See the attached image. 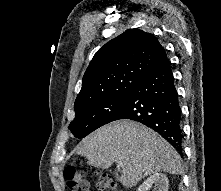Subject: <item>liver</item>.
<instances>
[{"label": "liver", "mask_w": 221, "mask_h": 191, "mask_svg": "<svg viewBox=\"0 0 221 191\" xmlns=\"http://www.w3.org/2000/svg\"><path fill=\"white\" fill-rule=\"evenodd\" d=\"M77 155L86 157L89 165L105 169L113 162L121 163L120 181L128 188L160 171L181 173L180 156L174 148L152 129L131 120L97 129L79 143Z\"/></svg>", "instance_id": "liver-1"}]
</instances>
